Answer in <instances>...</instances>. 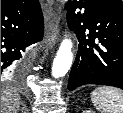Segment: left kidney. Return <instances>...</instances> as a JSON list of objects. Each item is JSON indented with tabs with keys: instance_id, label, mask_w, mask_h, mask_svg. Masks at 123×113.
Returning <instances> with one entry per match:
<instances>
[{
	"instance_id": "obj_1",
	"label": "left kidney",
	"mask_w": 123,
	"mask_h": 113,
	"mask_svg": "<svg viewBox=\"0 0 123 113\" xmlns=\"http://www.w3.org/2000/svg\"><path fill=\"white\" fill-rule=\"evenodd\" d=\"M83 113H93V112L90 110H86V111H83Z\"/></svg>"
}]
</instances>
